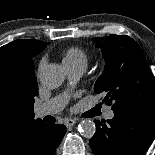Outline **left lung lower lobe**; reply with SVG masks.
Segmentation results:
<instances>
[{
	"label": "left lung lower lobe",
	"mask_w": 155,
	"mask_h": 155,
	"mask_svg": "<svg viewBox=\"0 0 155 155\" xmlns=\"http://www.w3.org/2000/svg\"><path fill=\"white\" fill-rule=\"evenodd\" d=\"M90 140L95 155H144L155 136V105H139L114 112L111 120H94Z\"/></svg>",
	"instance_id": "1"
}]
</instances>
